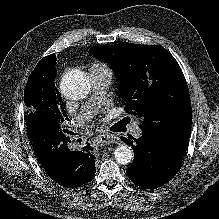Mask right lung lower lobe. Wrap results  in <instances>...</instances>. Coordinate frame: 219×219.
I'll use <instances>...</instances> for the list:
<instances>
[{
    "label": "right lung lower lobe",
    "instance_id": "obj_1",
    "mask_svg": "<svg viewBox=\"0 0 219 219\" xmlns=\"http://www.w3.org/2000/svg\"><path fill=\"white\" fill-rule=\"evenodd\" d=\"M27 134L39 163L59 185L77 188L95 175V156L88 143L80 151H71L70 139L48 122L27 127Z\"/></svg>",
    "mask_w": 219,
    "mask_h": 219
}]
</instances>
